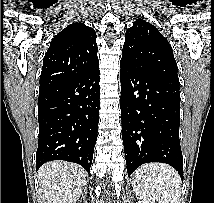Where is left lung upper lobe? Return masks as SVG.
I'll return each instance as SVG.
<instances>
[{"label": "left lung upper lobe", "mask_w": 214, "mask_h": 203, "mask_svg": "<svg viewBox=\"0 0 214 203\" xmlns=\"http://www.w3.org/2000/svg\"><path fill=\"white\" fill-rule=\"evenodd\" d=\"M122 59L179 81L171 45L155 26L141 18L126 31Z\"/></svg>", "instance_id": "obj_1"}]
</instances>
